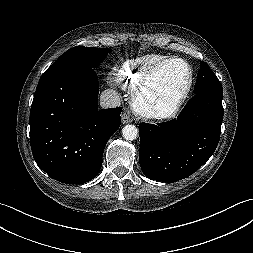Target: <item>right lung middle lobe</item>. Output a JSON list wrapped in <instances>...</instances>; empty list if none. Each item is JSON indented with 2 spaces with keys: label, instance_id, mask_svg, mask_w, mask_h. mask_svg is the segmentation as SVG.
Returning <instances> with one entry per match:
<instances>
[{
  "label": "right lung middle lobe",
  "instance_id": "dd1d6c3e",
  "mask_svg": "<svg viewBox=\"0 0 253 253\" xmlns=\"http://www.w3.org/2000/svg\"><path fill=\"white\" fill-rule=\"evenodd\" d=\"M110 52L111 50L106 48L73 47L62 54L56 62L45 71L41 79L52 74L70 70L86 69L94 72L93 67L101 63Z\"/></svg>",
  "mask_w": 253,
  "mask_h": 253
}]
</instances>
